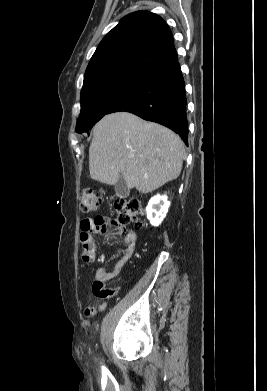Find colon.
Masks as SVG:
<instances>
[{"label": "colon", "mask_w": 267, "mask_h": 391, "mask_svg": "<svg viewBox=\"0 0 267 391\" xmlns=\"http://www.w3.org/2000/svg\"><path fill=\"white\" fill-rule=\"evenodd\" d=\"M103 201V193L101 191L90 188L84 189L80 193L79 207L80 211L87 215L95 213L99 210ZM117 214L115 222L120 226H125L134 223L136 227H143L141 218L145 215V209L138 199H119L113 204ZM85 239H82L84 242Z\"/></svg>", "instance_id": "colon-1"}]
</instances>
